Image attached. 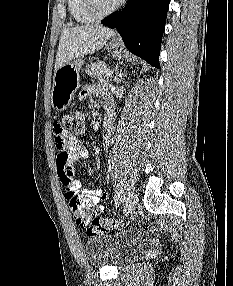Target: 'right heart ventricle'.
I'll return each mask as SVG.
<instances>
[{
	"label": "right heart ventricle",
	"mask_w": 233,
	"mask_h": 286,
	"mask_svg": "<svg viewBox=\"0 0 233 286\" xmlns=\"http://www.w3.org/2000/svg\"><path fill=\"white\" fill-rule=\"evenodd\" d=\"M68 10L72 18L79 24H88L96 18L86 9L84 0H67Z\"/></svg>",
	"instance_id": "1"
}]
</instances>
